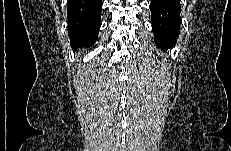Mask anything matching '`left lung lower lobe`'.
<instances>
[{
    "label": "left lung lower lobe",
    "instance_id": "obj_1",
    "mask_svg": "<svg viewBox=\"0 0 231 151\" xmlns=\"http://www.w3.org/2000/svg\"><path fill=\"white\" fill-rule=\"evenodd\" d=\"M151 22L154 41L165 51L173 47L180 32V2L177 0H151Z\"/></svg>",
    "mask_w": 231,
    "mask_h": 151
}]
</instances>
